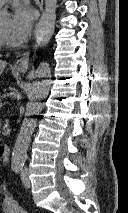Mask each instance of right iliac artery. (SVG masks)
<instances>
[{"label": "right iliac artery", "instance_id": "1", "mask_svg": "<svg viewBox=\"0 0 128 213\" xmlns=\"http://www.w3.org/2000/svg\"><path fill=\"white\" fill-rule=\"evenodd\" d=\"M21 166L20 165H15L12 167L14 172H18L20 170Z\"/></svg>", "mask_w": 128, "mask_h": 213}]
</instances>
